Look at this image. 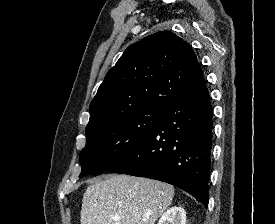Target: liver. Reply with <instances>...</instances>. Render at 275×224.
I'll list each match as a JSON object with an SVG mask.
<instances>
[{
	"label": "liver",
	"mask_w": 275,
	"mask_h": 224,
	"mask_svg": "<svg viewBox=\"0 0 275 224\" xmlns=\"http://www.w3.org/2000/svg\"><path fill=\"white\" fill-rule=\"evenodd\" d=\"M174 187L153 179L113 175L89 185L81 224H155L171 205ZM118 217L116 221L113 218Z\"/></svg>",
	"instance_id": "obj_1"
}]
</instances>
